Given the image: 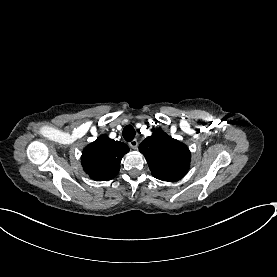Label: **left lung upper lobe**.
<instances>
[{"instance_id":"left-lung-upper-lobe-1","label":"left lung upper lobe","mask_w":277,"mask_h":277,"mask_svg":"<svg viewBox=\"0 0 277 277\" xmlns=\"http://www.w3.org/2000/svg\"><path fill=\"white\" fill-rule=\"evenodd\" d=\"M152 175L163 181L183 178L190 166L191 153L186 145L161 130L155 131L139 145Z\"/></svg>"}]
</instances>
